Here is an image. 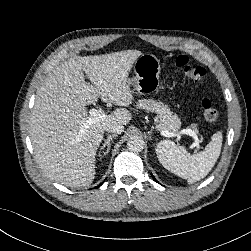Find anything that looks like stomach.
Masks as SVG:
<instances>
[{"mask_svg": "<svg viewBox=\"0 0 251 251\" xmlns=\"http://www.w3.org/2000/svg\"><path fill=\"white\" fill-rule=\"evenodd\" d=\"M160 60L153 54L140 55L134 64L135 76L127 82L140 94H149L159 89Z\"/></svg>", "mask_w": 251, "mask_h": 251, "instance_id": "0dacf381", "label": "stomach"}]
</instances>
